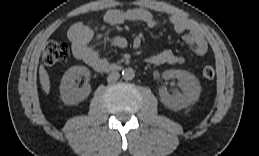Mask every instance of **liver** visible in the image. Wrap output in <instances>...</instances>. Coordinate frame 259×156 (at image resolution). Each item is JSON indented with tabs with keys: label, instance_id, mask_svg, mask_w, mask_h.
I'll list each match as a JSON object with an SVG mask.
<instances>
[{
	"label": "liver",
	"instance_id": "liver-1",
	"mask_svg": "<svg viewBox=\"0 0 259 156\" xmlns=\"http://www.w3.org/2000/svg\"><path fill=\"white\" fill-rule=\"evenodd\" d=\"M39 78H40V84H41L43 91L46 94H49L50 79H49V75H48L46 69L44 68V66L42 64L39 67Z\"/></svg>",
	"mask_w": 259,
	"mask_h": 156
}]
</instances>
